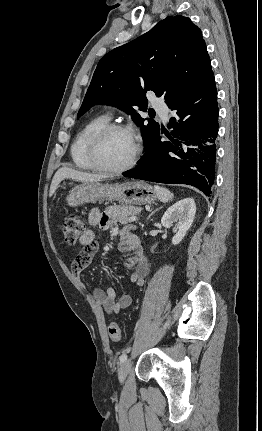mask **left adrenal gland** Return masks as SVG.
I'll use <instances>...</instances> for the list:
<instances>
[{"mask_svg": "<svg viewBox=\"0 0 262 431\" xmlns=\"http://www.w3.org/2000/svg\"><path fill=\"white\" fill-rule=\"evenodd\" d=\"M157 210H158V208L156 210H154L153 212H151V214L148 216L147 219H149Z\"/></svg>", "mask_w": 262, "mask_h": 431, "instance_id": "a2214340", "label": "left adrenal gland"}]
</instances>
